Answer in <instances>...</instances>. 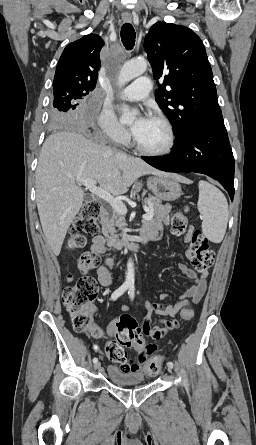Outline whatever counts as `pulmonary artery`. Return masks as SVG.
Masks as SVG:
<instances>
[{"label":"pulmonary artery","instance_id":"obj_1","mask_svg":"<svg viewBox=\"0 0 256 445\" xmlns=\"http://www.w3.org/2000/svg\"><path fill=\"white\" fill-rule=\"evenodd\" d=\"M152 83L148 77H140L128 85L122 92V98L127 101H139L150 92Z\"/></svg>","mask_w":256,"mask_h":445}]
</instances>
